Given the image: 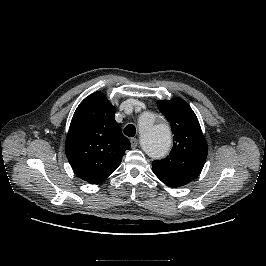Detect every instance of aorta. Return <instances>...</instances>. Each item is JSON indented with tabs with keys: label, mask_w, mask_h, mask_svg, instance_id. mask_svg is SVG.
Wrapping results in <instances>:
<instances>
[{
	"label": "aorta",
	"mask_w": 266,
	"mask_h": 266,
	"mask_svg": "<svg viewBox=\"0 0 266 266\" xmlns=\"http://www.w3.org/2000/svg\"><path fill=\"white\" fill-rule=\"evenodd\" d=\"M139 122L142 149L152 158L165 156L171 146L169 126L159 121L158 117L151 112L142 114Z\"/></svg>",
	"instance_id": "762f6f07"
}]
</instances>
